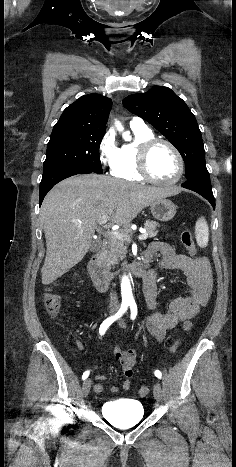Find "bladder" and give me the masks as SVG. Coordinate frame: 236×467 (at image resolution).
I'll list each match as a JSON object with an SVG mask.
<instances>
[{"label": "bladder", "mask_w": 236, "mask_h": 467, "mask_svg": "<svg viewBox=\"0 0 236 467\" xmlns=\"http://www.w3.org/2000/svg\"><path fill=\"white\" fill-rule=\"evenodd\" d=\"M101 414L114 426L123 428L142 421L144 408L138 400L123 398L105 402Z\"/></svg>", "instance_id": "obj_1"}]
</instances>
